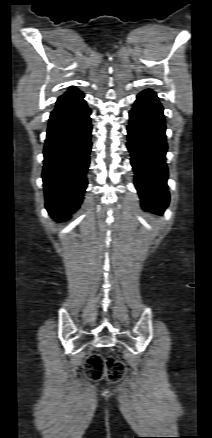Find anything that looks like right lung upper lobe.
<instances>
[{"label": "right lung upper lobe", "instance_id": "cb5924a9", "mask_svg": "<svg viewBox=\"0 0 212 438\" xmlns=\"http://www.w3.org/2000/svg\"><path fill=\"white\" fill-rule=\"evenodd\" d=\"M82 93L81 91H79L78 89L71 87L65 94H63L62 96L59 97V99L61 98H65V97H70V96H74L77 94Z\"/></svg>", "mask_w": 212, "mask_h": 438}]
</instances>
